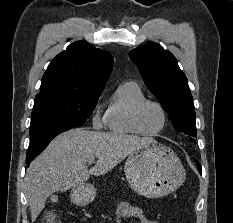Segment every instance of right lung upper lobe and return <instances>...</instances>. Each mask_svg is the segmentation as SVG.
Masks as SVG:
<instances>
[{"instance_id":"cb5924a9","label":"right lung upper lobe","mask_w":233,"mask_h":223,"mask_svg":"<svg viewBox=\"0 0 233 223\" xmlns=\"http://www.w3.org/2000/svg\"><path fill=\"white\" fill-rule=\"evenodd\" d=\"M113 67L109 52L77 41L58 54L43 75L40 93L100 94Z\"/></svg>"}]
</instances>
